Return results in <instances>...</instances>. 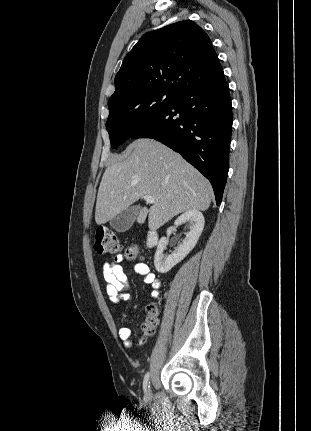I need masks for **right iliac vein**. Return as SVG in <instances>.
I'll use <instances>...</instances> for the list:
<instances>
[{
	"label": "right iliac vein",
	"instance_id": "obj_1",
	"mask_svg": "<svg viewBox=\"0 0 311 431\" xmlns=\"http://www.w3.org/2000/svg\"><path fill=\"white\" fill-rule=\"evenodd\" d=\"M150 397H151V390H150V388H148V390L146 391V393L144 395V399L149 400Z\"/></svg>",
	"mask_w": 311,
	"mask_h": 431
}]
</instances>
